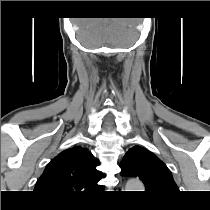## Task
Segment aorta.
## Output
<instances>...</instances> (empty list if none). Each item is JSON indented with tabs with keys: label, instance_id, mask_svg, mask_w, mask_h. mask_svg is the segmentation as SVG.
I'll list each match as a JSON object with an SVG mask.
<instances>
[{
	"label": "aorta",
	"instance_id": "762f6f07",
	"mask_svg": "<svg viewBox=\"0 0 210 210\" xmlns=\"http://www.w3.org/2000/svg\"><path fill=\"white\" fill-rule=\"evenodd\" d=\"M126 188L128 189V191H143L144 190V186L142 182H140L139 180L128 181Z\"/></svg>",
	"mask_w": 210,
	"mask_h": 210
}]
</instances>
